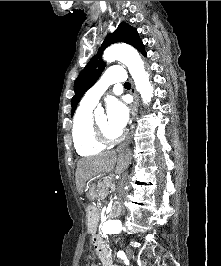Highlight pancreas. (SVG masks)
<instances>
[{"mask_svg":"<svg viewBox=\"0 0 221 266\" xmlns=\"http://www.w3.org/2000/svg\"><path fill=\"white\" fill-rule=\"evenodd\" d=\"M111 186H112V184L108 179L104 178V179L100 180L98 182L99 196L101 198L107 196L108 195V188Z\"/></svg>","mask_w":221,"mask_h":266,"instance_id":"1","label":"pancreas"}]
</instances>
